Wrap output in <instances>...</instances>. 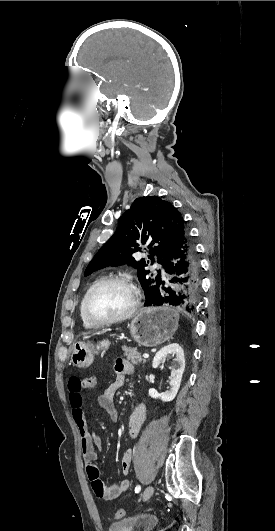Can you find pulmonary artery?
<instances>
[{
	"label": "pulmonary artery",
	"instance_id": "1",
	"mask_svg": "<svg viewBox=\"0 0 275 531\" xmlns=\"http://www.w3.org/2000/svg\"><path fill=\"white\" fill-rule=\"evenodd\" d=\"M154 266L159 269L161 273H164L166 271V268L164 267V263L161 260H158L154 263Z\"/></svg>",
	"mask_w": 275,
	"mask_h": 531
}]
</instances>
